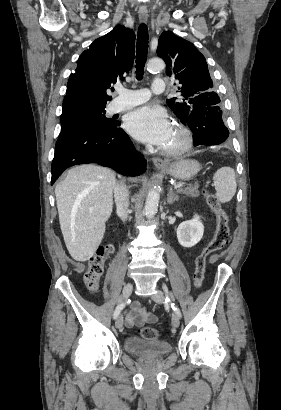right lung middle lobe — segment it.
<instances>
[{
    "label": "right lung middle lobe",
    "mask_w": 281,
    "mask_h": 410,
    "mask_svg": "<svg viewBox=\"0 0 281 410\" xmlns=\"http://www.w3.org/2000/svg\"><path fill=\"white\" fill-rule=\"evenodd\" d=\"M105 105L74 104L64 106L61 114V133L63 137L84 127H101L114 123L105 117Z\"/></svg>",
    "instance_id": "dd1d6c3e"
}]
</instances>
